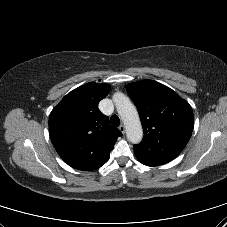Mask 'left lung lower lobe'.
Returning a JSON list of instances; mask_svg holds the SVG:
<instances>
[{"label": "left lung lower lobe", "instance_id": "left-lung-lower-lobe-1", "mask_svg": "<svg viewBox=\"0 0 227 227\" xmlns=\"http://www.w3.org/2000/svg\"><path fill=\"white\" fill-rule=\"evenodd\" d=\"M137 159L144 165L147 166H158L170 162L172 159L159 157V156H148L142 153L140 150L134 148Z\"/></svg>", "mask_w": 227, "mask_h": 227}]
</instances>
